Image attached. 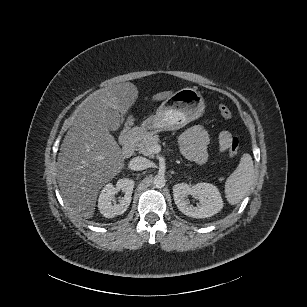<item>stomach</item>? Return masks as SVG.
<instances>
[{
	"label": "stomach",
	"mask_w": 307,
	"mask_h": 307,
	"mask_svg": "<svg viewBox=\"0 0 307 307\" xmlns=\"http://www.w3.org/2000/svg\"><path fill=\"white\" fill-rule=\"evenodd\" d=\"M204 108V99L196 90L183 88L169 95L142 128L148 133L177 130L200 117Z\"/></svg>",
	"instance_id": "1"
}]
</instances>
